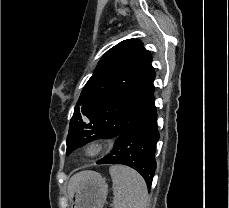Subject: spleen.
<instances>
[{"label": "spleen", "mask_w": 229, "mask_h": 208, "mask_svg": "<svg viewBox=\"0 0 229 208\" xmlns=\"http://www.w3.org/2000/svg\"><path fill=\"white\" fill-rule=\"evenodd\" d=\"M114 208H146L147 186L142 176L127 166H111Z\"/></svg>", "instance_id": "spleen-1"}]
</instances>
